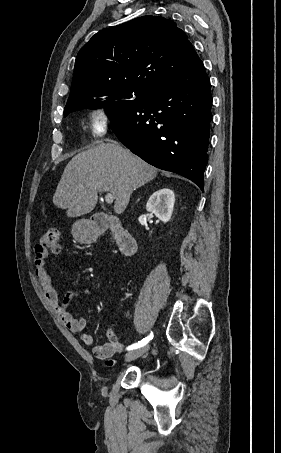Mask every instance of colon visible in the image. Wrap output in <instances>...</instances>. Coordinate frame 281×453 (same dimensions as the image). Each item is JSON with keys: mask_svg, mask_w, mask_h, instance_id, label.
<instances>
[{"mask_svg": "<svg viewBox=\"0 0 281 453\" xmlns=\"http://www.w3.org/2000/svg\"><path fill=\"white\" fill-rule=\"evenodd\" d=\"M59 233L60 227L58 226H48L46 229L45 235L42 237L40 246L38 249H45L46 256L44 261L52 256L58 255L60 253V244H59Z\"/></svg>", "mask_w": 281, "mask_h": 453, "instance_id": "obj_1", "label": "colon"}]
</instances>
